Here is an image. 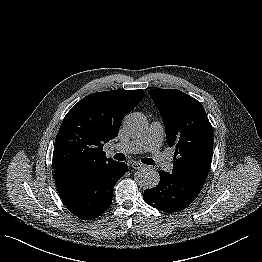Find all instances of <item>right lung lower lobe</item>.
Returning a JSON list of instances; mask_svg holds the SVG:
<instances>
[{
  "instance_id": "1",
  "label": "right lung lower lobe",
  "mask_w": 262,
  "mask_h": 262,
  "mask_svg": "<svg viewBox=\"0 0 262 262\" xmlns=\"http://www.w3.org/2000/svg\"><path fill=\"white\" fill-rule=\"evenodd\" d=\"M127 170L125 163L117 162L74 175L55 176V182L68 210L80 219L91 220L109 208L114 185Z\"/></svg>"
}]
</instances>
